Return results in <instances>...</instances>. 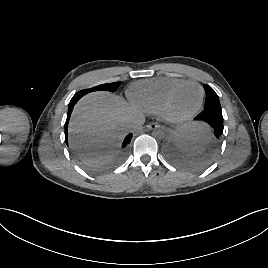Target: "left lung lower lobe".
Here are the masks:
<instances>
[{
    "instance_id": "obj_1",
    "label": "left lung lower lobe",
    "mask_w": 268,
    "mask_h": 268,
    "mask_svg": "<svg viewBox=\"0 0 268 268\" xmlns=\"http://www.w3.org/2000/svg\"><path fill=\"white\" fill-rule=\"evenodd\" d=\"M195 120L204 121L208 123L214 132L212 137L213 145H217L223 134V116L222 109H204L199 115L195 117Z\"/></svg>"
}]
</instances>
